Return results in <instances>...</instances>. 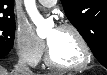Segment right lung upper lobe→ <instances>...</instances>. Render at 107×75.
Returning <instances> with one entry per match:
<instances>
[{"mask_svg": "<svg viewBox=\"0 0 107 75\" xmlns=\"http://www.w3.org/2000/svg\"><path fill=\"white\" fill-rule=\"evenodd\" d=\"M14 18V0H0V19Z\"/></svg>", "mask_w": 107, "mask_h": 75, "instance_id": "right-lung-upper-lobe-1", "label": "right lung upper lobe"}]
</instances>
